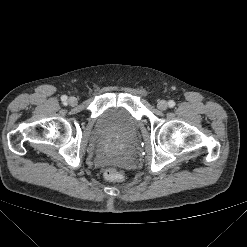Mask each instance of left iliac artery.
<instances>
[{"label":"left iliac artery","instance_id":"obj_1","mask_svg":"<svg viewBox=\"0 0 247 247\" xmlns=\"http://www.w3.org/2000/svg\"><path fill=\"white\" fill-rule=\"evenodd\" d=\"M168 105H169L170 108H172V107L175 106V102H174L173 100H170V101L168 102Z\"/></svg>","mask_w":247,"mask_h":247}]
</instances>
